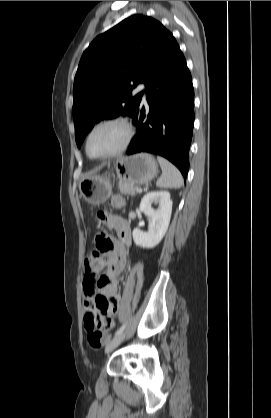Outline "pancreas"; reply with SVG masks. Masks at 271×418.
<instances>
[{
	"mask_svg": "<svg viewBox=\"0 0 271 418\" xmlns=\"http://www.w3.org/2000/svg\"><path fill=\"white\" fill-rule=\"evenodd\" d=\"M118 188L120 190L121 193L124 194H129L131 196H134L137 193V188L138 186L130 183V182H125V181H120L118 183Z\"/></svg>",
	"mask_w": 271,
	"mask_h": 418,
	"instance_id": "pancreas-1",
	"label": "pancreas"
}]
</instances>
